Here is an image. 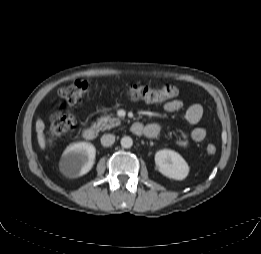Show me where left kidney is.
Listing matches in <instances>:
<instances>
[{
	"label": "left kidney",
	"instance_id": "obj_1",
	"mask_svg": "<svg viewBox=\"0 0 261 254\" xmlns=\"http://www.w3.org/2000/svg\"><path fill=\"white\" fill-rule=\"evenodd\" d=\"M155 164L161 174L175 179L183 180L188 176L189 166L184 158L173 150H159L155 154Z\"/></svg>",
	"mask_w": 261,
	"mask_h": 254
}]
</instances>
